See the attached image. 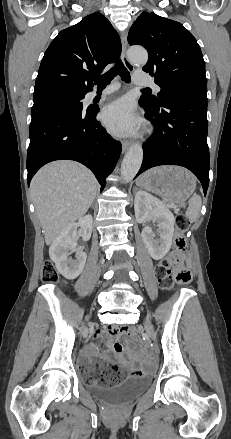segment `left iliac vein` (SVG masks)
<instances>
[{
    "label": "left iliac vein",
    "mask_w": 231,
    "mask_h": 439,
    "mask_svg": "<svg viewBox=\"0 0 231 439\" xmlns=\"http://www.w3.org/2000/svg\"><path fill=\"white\" fill-rule=\"evenodd\" d=\"M144 325L153 342H156L157 341L156 332L151 322L149 320H146Z\"/></svg>",
    "instance_id": "1"
}]
</instances>
